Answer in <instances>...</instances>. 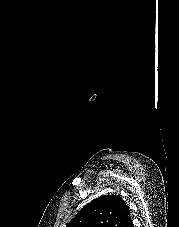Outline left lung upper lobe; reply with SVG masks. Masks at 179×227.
Here are the masks:
<instances>
[{
    "instance_id": "left-lung-upper-lobe-1",
    "label": "left lung upper lobe",
    "mask_w": 179,
    "mask_h": 227,
    "mask_svg": "<svg viewBox=\"0 0 179 227\" xmlns=\"http://www.w3.org/2000/svg\"><path fill=\"white\" fill-rule=\"evenodd\" d=\"M66 227H134L129 207L116 195H105L85 205Z\"/></svg>"
}]
</instances>
